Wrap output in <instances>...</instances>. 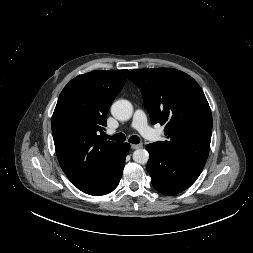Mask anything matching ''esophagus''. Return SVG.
<instances>
[{
	"label": "esophagus",
	"instance_id": "34e87169",
	"mask_svg": "<svg viewBox=\"0 0 253 253\" xmlns=\"http://www.w3.org/2000/svg\"><path fill=\"white\" fill-rule=\"evenodd\" d=\"M142 147V144H131L132 149H139Z\"/></svg>",
	"mask_w": 253,
	"mask_h": 253
}]
</instances>
